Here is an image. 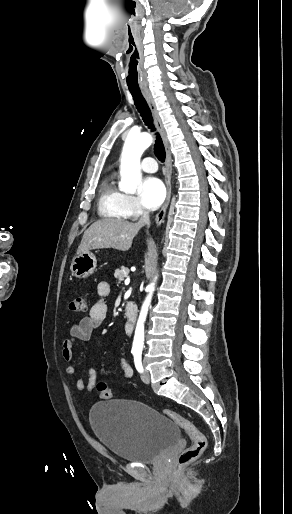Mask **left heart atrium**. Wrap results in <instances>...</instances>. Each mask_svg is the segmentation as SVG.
<instances>
[{"instance_id":"1","label":"left heart atrium","mask_w":292,"mask_h":514,"mask_svg":"<svg viewBox=\"0 0 292 514\" xmlns=\"http://www.w3.org/2000/svg\"><path fill=\"white\" fill-rule=\"evenodd\" d=\"M165 187L163 182L154 176L142 180L139 188L138 198L141 205L148 209H156L164 200Z\"/></svg>"}]
</instances>
